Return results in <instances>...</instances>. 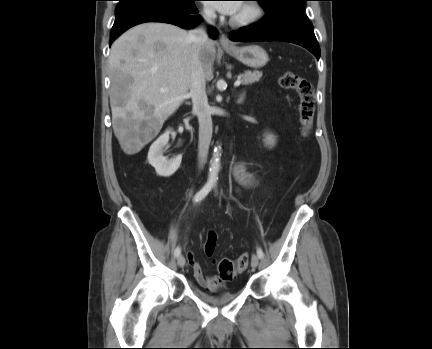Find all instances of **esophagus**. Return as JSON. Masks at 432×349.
I'll list each match as a JSON object with an SVG mask.
<instances>
[{
    "mask_svg": "<svg viewBox=\"0 0 432 349\" xmlns=\"http://www.w3.org/2000/svg\"><path fill=\"white\" fill-rule=\"evenodd\" d=\"M219 42H220V45L224 48L234 46L224 33H221Z\"/></svg>",
    "mask_w": 432,
    "mask_h": 349,
    "instance_id": "obj_1",
    "label": "esophagus"
}]
</instances>
